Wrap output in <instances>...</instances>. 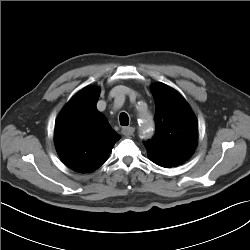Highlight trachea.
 Returning a JSON list of instances; mask_svg holds the SVG:
<instances>
[{
	"mask_svg": "<svg viewBox=\"0 0 250 250\" xmlns=\"http://www.w3.org/2000/svg\"><path fill=\"white\" fill-rule=\"evenodd\" d=\"M120 124L122 126H127L129 124V117L124 112L120 114Z\"/></svg>",
	"mask_w": 250,
	"mask_h": 250,
	"instance_id": "trachea-1",
	"label": "trachea"
}]
</instances>
